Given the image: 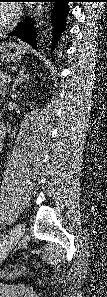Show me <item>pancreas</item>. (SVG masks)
I'll return each mask as SVG.
<instances>
[{"label":"pancreas","mask_w":107,"mask_h":297,"mask_svg":"<svg viewBox=\"0 0 107 297\" xmlns=\"http://www.w3.org/2000/svg\"><path fill=\"white\" fill-rule=\"evenodd\" d=\"M7 76H8L7 72H4V71L0 72V88L1 89H3L5 87L6 82L4 80Z\"/></svg>","instance_id":"pancreas-1"}]
</instances>
